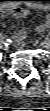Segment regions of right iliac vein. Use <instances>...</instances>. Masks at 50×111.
Instances as JSON below:
<instances>
[{"label": "right iliac vein", "instance_id": "right-iliac-vein-1", "mask_svg": "<svg viewBox=\"0 0 50 111\" xmlns=\"http://www.w3.org/2000/svg\"><path fill=\"white\" fill-rule=\"evenodd\" d=\"M0 42H1V44H3V43H4V40H3V38H2V40H1Z\"/></svg>", "mask_w": 50, "mask_h": 111}]
</instances>
